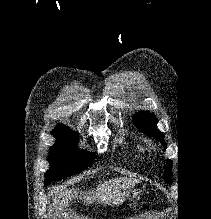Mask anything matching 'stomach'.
Listing matches in <instances>:
<instances>
[{
  "mask_svg": "<svg viewBox=\"0 0 211 219\" xmlns=\"http://www.w3.org/2000/svg\"><path fill=\"white\" fill-rule=\"evenodd\" d=\"M145 189H146V188L144 187V190H145ZM139 192H140V190L130 189V190L126 193L125 198H126L127 200L132 201V200H134V199L138 196Z\"/></svg>",
  "mask_w": 211,
  "mask_h": 219,
  "instance_id": "1",
  "label": "stomach"
}]
</instances>
